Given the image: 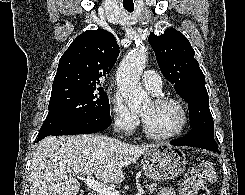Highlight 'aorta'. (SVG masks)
<instances>
[{"mask_svg": "<svg viewBox=\"0 0 245 195\" xmlns=\"http://www.w3.org/2000/svg\"><path fill=\"white\" fill-rule=\"evenodd\" d=\"M147 62V50L136 46L119 65L116 73L117 87L131 111H138L150 102L141 88L140 76Z\"/></svg>", "mask_w": 245, "mask_h": 195, "instance_id": "aorta-1", "label": "aorta"}]
</instances>
